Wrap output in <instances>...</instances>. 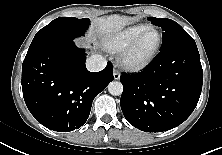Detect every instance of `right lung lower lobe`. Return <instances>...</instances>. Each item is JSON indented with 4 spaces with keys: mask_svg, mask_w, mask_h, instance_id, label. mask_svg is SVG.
I'll use <instances>...</instances> for the list:
<instances>
[{
    "mask_svg": "<svg viewBox=\"0 0 222 155\" xmlns=\"http://www.w3.org/2000/svg\"><path fill=\"white\" fill-rule=\"evenodd\" d=\"M85 52L72 40L49 44L25 57L22 91L34 118L45 127L70 132L87 121L92 102L113 80L108 63L100 72L85 66Z\"/></svg>",
    "mask_w": 222,
    "mask_h": 155,
    "instance_id": "98d812e1",
    "label": "right lung lower lobe"
}]
</instances>
